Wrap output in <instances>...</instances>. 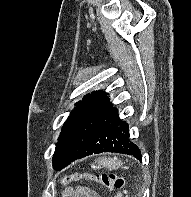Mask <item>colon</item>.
I'll list each match as a JSON object with an SVG mask.
<instances>
[{
  "label": "colon",
  "instance_id": "colon-1",
  "mask_svg": "<svg viewBox=\"0 0 191 197\" xmlns=\"http://www.w3.org/2000/svg\"><path fill=\"white\" fill-rule=\"evenodd\" d=\"M78 181H88L100 184L107 189L115 191V197H122V189L124 187V178L114 173L87 174V173H71L63 176L62 183H72Z\"/></svg>",
  "mask_w": 191,
  "mask_h": 197
}]
</instances>
